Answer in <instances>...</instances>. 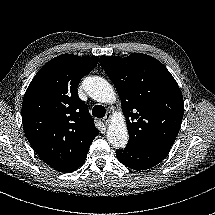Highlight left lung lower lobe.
I'll return each instance as SVG.
<instances>
[{
  "instance_id": "1",
  "label": "left lung lower lobe",
  "mask_w": 215,
  "mask_h": 215,
  "mask_svg": "<svg viewBox=\"0 0 215 215\" xmlns=\"http://www.w3.org/2000/svg\"><path fill=\"white\" fill-rule=\"evenodd\" d=\"M171 147L141 148L126 146L117 150L118 160L125 166L134 170L149 169L160 163L169 153Z\"/></svg>"
}]
</instances>
